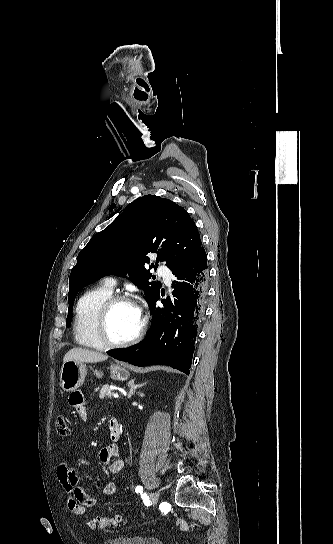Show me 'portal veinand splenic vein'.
Wrapping results in <instances>:
<instances>
[{"instance_id":"portal-vein-and-splenic-vein-1","label":"portal vein and splenic vein","mask_w":333,"mask_h":544,"mask_svg":"<svg viewBox=\"0 0 333 544\" xmlns=\"http://www.w3.org/2000/svg\"><path fill=\"white\" fill-rule=\"evenodd\" d=\"M113 397H114V398H118L119 395H118L117 393H114V394H113Z\"/></svg>"}]
</instances>
